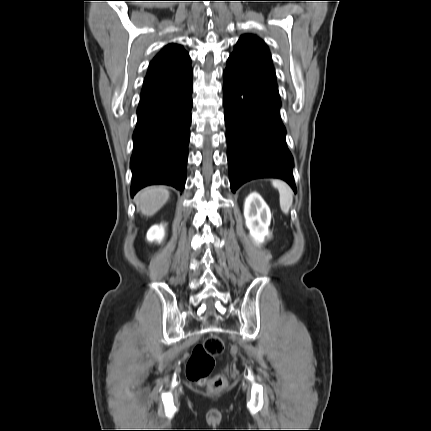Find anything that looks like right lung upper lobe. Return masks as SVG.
<instances>
[{
    "label": "right lung upper lobe",
    "mask_w": 431,
    "mask_h": 431,
    "mask_svg": "<svg viewBox=\"0 0 431 431\" xmlns=\"http://www.w3.org/2000/svg\"><path fill=\"white\" fill-rule=\"evenodd\" d=\"M193 75L190 57L178 44L165 46L150 63L140 102L159 97Z\"/></svg>",
    "instance_id": "obj_1"
}]
</instances>
